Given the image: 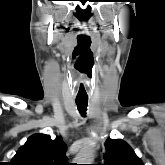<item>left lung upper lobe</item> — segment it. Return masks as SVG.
Wrapping results in <instances>:
<instances>
[{
	"label": "left lung upper lobe",
	"mask_w": 165,
	"mask_h": 165,
	"mask_svg": "<svg viewBox=\"0 0 165 165\" xmlns=\"http://www.w3.org/2000/svg\"><path fill=\"white\" fill-rule=\"evenodd\" d=\"M105 147L103 165H143L132 148L120 139L108 138Z\"/></svg>",
	"instance_id": "1"
}]
</instances>
